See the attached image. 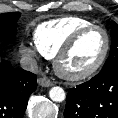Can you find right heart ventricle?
<instances>
[{
  "mask_svg": "<svg viewBox=\"0 0 118 118\" xmlns=\"http://www.w3.org/2000/svg\"><path fill=\"white\" fill-rule=\"evenodd\" d=\"M91 24H93L91 21L77 16L43 22L34 31L36 48L42 56L52 59L75 31Z\"/></svg>",
  "mask_w": 118,
  "mask_h": 118,
  "instance_id": "1",
  "label": "right heart ventricle"
}]
</instances>
